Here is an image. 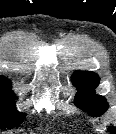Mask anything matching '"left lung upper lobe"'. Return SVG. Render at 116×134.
Wrapping results in <instances>:
<instances>
[{"mask_svg":"<svg viewBox=\"0 0 116 134\" xmlns=\"http://www.w3.org/2000/svg\"><path fill=\"white\" fill-rule=\"evenodd\" d=\"M73 85L78 89L75 104L92 116H100L106 112L109 105L101 95H96L94 89L99 84V77L90 71H76L72 75ZM116 134V129H109Z\"/></svg>","mask_w":116,"mask_h":134,"instance_id":"left-lung-upper-lobe-1","label":"left lung upper lobe"}]
</instances>
